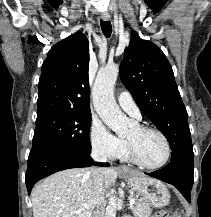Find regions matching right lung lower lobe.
<instances>
[{
  "instance_id": "right-lung-lower-lobe-1",
  "label": "right lung lower lobe",
  "mask_w": 211,
  "mask_h": 217,
  "mask_svg": "<svg viewBox=\"0 0 211 217\" xmlns=\"http://www.w3.org/2000/svg\"><path fill=\"white\" fill-rule=\"evenodd\" d=\"M92 165L93 159L90 153H80L57 146L32 147L25 174L28 194L37 181L55 172ZM95 165L109 166L108 163H95Z\"/></svg>"
}]
</instances>
